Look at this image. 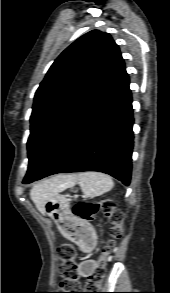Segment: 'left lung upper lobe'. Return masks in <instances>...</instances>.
I'll return each instance as SVG.
<instances>
[{"label": "left lung upper lobe", "mask_w": 170, "mask_h": 293, "mask_svg": "<svg viewBox=\"0 0 170 293\" xmlns=\"http://www.w3.org/2000/svg\"><path fill=\"white\" fill-rule=\"evenodd\" d=\"M124 70L118 46L98 30L81 36L60 54L35 94L24 179L41 173L63 150Z\"/></svg>", "instance_id": "left-lung-upper-lobe-1"}]
</instances>
